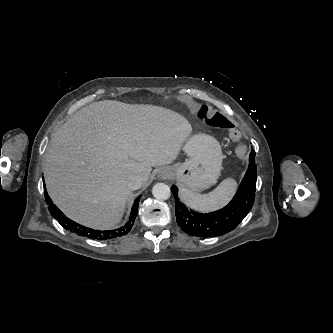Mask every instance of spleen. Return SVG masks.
I'll return each mask as SVG.
<instances>
[{
  "label": "spleen",
  "instance_id": "obj_1",
  "mask_svg": "<svg viewBox=\"0 0 333 333\" xmlns=\"http://www.w3.org/2000/svg\"><path fill=\"white\" fill-rule=\"evenodd\" d=\"M237 189V182L232 178L223 180L208 194H197L182 188L181 200L190 208L198 211H211L221 208L229 202Z\"/></svg>",
  "mask_w": 333,
  "mask_h": 333
}]
</instances>
